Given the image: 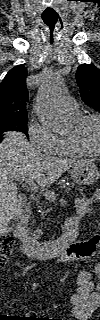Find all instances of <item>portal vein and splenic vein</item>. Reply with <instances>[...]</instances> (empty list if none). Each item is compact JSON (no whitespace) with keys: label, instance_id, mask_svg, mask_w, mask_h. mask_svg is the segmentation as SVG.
Segmentation results:
<instances>
[{"label":"portal vein and splenic vein","instance_id":"1","mask_svg":"<svg viewBox=\"0 0 100 320\" xmlns=\"http://www.w3.org/2000/svg\"><path fill=\"white\" fill-rule=\"evenodd\" d=\"M19 180L25 182L31 191L39 192V186L35 183L33 178H30V179L22 178ZM65 192H68V191L66 190ZM40 193H42L44 197L49 201H54L56 199V195L53 191L47 190L44 192L41 191Z\"/></svg>","mask_w":100,"mask_h":320}]
</instances>
